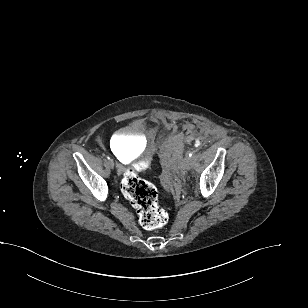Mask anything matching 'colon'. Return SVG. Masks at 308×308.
<instances>
[{
	"label": "colon",
	"mask_w": 308,
	"mask_h": 308,
	"mask_svg": "<svg viewBox=\"0 0 308 308\" xmlns=\"http://www.w3.org/2000/svg\"><path fill=\"white\" fill-rule=\"evenodd\" d=\"M147 161L136 163L128 169L121 182V190L131 205L136 209L140 224L147 230L163 227L167 220V212L158 204V195L155 186L140 178L138 173L146 170Z\"/></svg>",
	"instance_id": "colon-1"
}]
</instances>
